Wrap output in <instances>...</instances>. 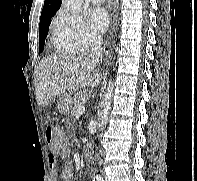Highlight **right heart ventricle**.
Segmentation results:
<instances>
[{
  "label": "right heart ventricle",
  "instance_id": "1",
  "mask_svg": "<svg viewBox=\"0 0 197 181\" xmlns=\"http://www.w3.org/2000/svg\"><path fill=\"white\" fill-rule=\"evenodd\" d=\"M51 49L58 54L72 55L74 48L56 22L52 25Z\"/></svg>",
  "mask_w": 197,
  "mask_h": 181
}]
</instances>
